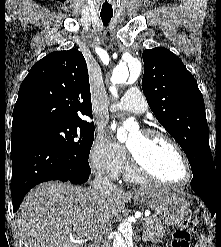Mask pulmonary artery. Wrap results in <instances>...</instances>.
<instances>
[{"mask_svg":"<svg viewBox=\"0 0 221 247\" xmlns=\"http://www.w3.org/2000/svg\"><path fill=\"white\" fill-rule=\"evenodd\" d=\"M148 110L147 101L142 92L136 88H129L123 98L112 105L111 112H133L137 114H143Z\"/></svg>","mask_w":221,"mask_h":247,"instance_id":"e3ab8cb5","label":"pulmonary artery"}]
</instances>
